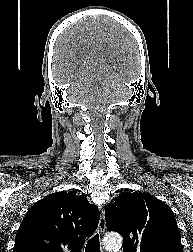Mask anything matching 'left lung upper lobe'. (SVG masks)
I'll return each instance as SVG.
<instances>
[{"label": "left lung upper lobe", "mask_w": 193, "mask_h": 252, "mask_svg": "<svg viewBox=\"0 0 193 252\" xmlns=\"http://www.w3.org/2000/svg\"><path fill=\"white\" fill-rule=\"evenodd\" d=\"M105 218L108 230L123 236V252H182L172 210L149 193L120 194L106 206Z\"/></svg>", "instance_id": "obj_1"}]
</instances>
